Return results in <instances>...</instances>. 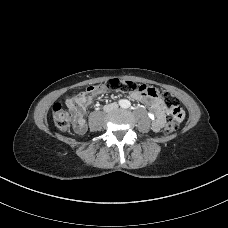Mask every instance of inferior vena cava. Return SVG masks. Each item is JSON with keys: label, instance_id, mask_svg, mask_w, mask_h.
Segmentation results:
<instances>
[{"label": "inferior vena cava", "instance_id": "602c4592", "mask_svg": "<svg viewBox=\"0 0 228 228\" xmlns=\"http://www.w3.org/2000/svg\"><path fill=\"white\" fill-rule=\"evenodd\" d=\"M117 108H118V105L112 103V104L105 105V106H104V111H105V112H110V111L115 110V109H117Z\"/></svg>", "mask_w": 228, "mask_h": 228}]
</instances>
